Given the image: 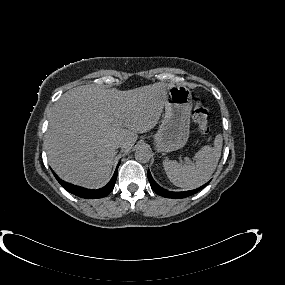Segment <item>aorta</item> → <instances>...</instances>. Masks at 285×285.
<instances>
[{"label":"aorta","instance_id":"762f6f07","mask_svg":"<svg viewBox=\"0 0 285 285\" xmlns=\"http://www.w3.org/2000/svg\"><path fill=\"white\" fill-rule=\"evenodd\" d=\"M135 158L141 163H147L151 158V152L146 147H140L135 151Z\"/></svg>","mask_w":285,"mask_h":285}]
</instances>
